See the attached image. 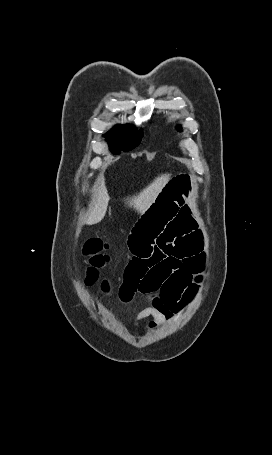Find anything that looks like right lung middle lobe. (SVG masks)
Segmentation results:
<instances>
[{
  "mask_svg": "<svg viewBox=\"0 0 272 455\" xmlns=\"http://www.w3.org/2000/svg\"><path fill=\"white\" fill-rule=\"evenodd\" d=\"M105 136L110 142L111 151L119 154L121 150L126 152L139 145L143 133L131 125H117Z\"/></svg>",
  "mask_w": 272,
  "mask_h": 455,
  "instance_id": "dd1d6c3e",
  "label": "right lung middle lobe"
}]
</instances>
